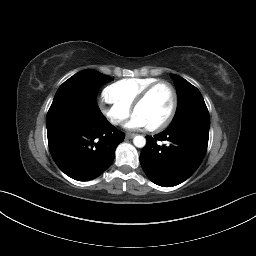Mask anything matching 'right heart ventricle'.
Segmentation results:
<instances>
[{
	"label": "right heart ventricle",
	"mask_w": 256,
	"mask_h": 256,
	"mask_svg": "<svg viewBox=\"0 0 256 256\" xmlns=\"http://www.w3.org/2000/svg\"><path fill=\"white\" fill-rule=\"evenodd\" d=\"M157 81L155 78L122 79L108 86L105 93L111 100L131 108L142 91Z\"/></svg>",
	"instance_id": "e07e8e85"
}]
</instances>
